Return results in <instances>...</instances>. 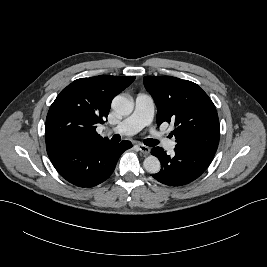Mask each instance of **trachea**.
I'll return each instance as SVG.
<instances>
[{"instance_id":"3493384b","label":"trachea","mask_w":267,"mask_h":267,"mask_svg":"<svg viewBox=\"0 0 267 267\" xmlns=\"http://www.w3.org/2000/svg\"><path fill=\"white\" fill-rule=\"evenodd\" d=\"M120 140H121V137L119 135H114L112 137V141H114V142H119ZM144 142L148 146H155L158 144V141L155 139H146Z\"/></svg>"}]
</instances>
